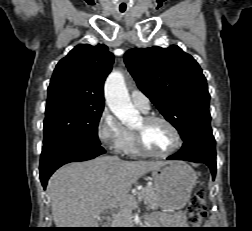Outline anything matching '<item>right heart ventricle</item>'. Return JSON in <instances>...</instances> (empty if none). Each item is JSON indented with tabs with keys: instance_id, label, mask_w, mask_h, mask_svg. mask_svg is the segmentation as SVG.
<instances>
[{
	"instance_id": "right-heart-ventricle-1",
	"label": "right heart ventricle",
	"mask_w": 252,
	"mask_h": 231,
	"mask_svg": "<svg viewBox=\"0 0 252 231\" xmlns=\"http://www.w3.org/2000/svg\"><path fill=\"white\" fill-rule=\"evenodd\" d=\"M126 130H127V138L122 147V151L132 156L140 155L141 153L137 150L135 146L132 131L130 129H126Z\"/></svg>"
}]
</instances>
